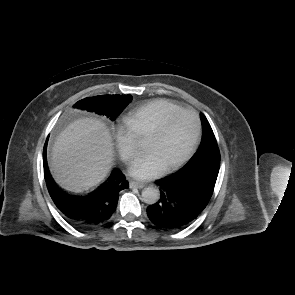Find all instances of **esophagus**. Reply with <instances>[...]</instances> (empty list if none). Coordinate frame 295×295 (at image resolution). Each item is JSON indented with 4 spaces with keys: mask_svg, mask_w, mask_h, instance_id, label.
Here are the masks:
<instances>
[{
    "mask_svg": "<svg viewBox=\"0 0 295 295\" xmlns=\"http://www.w3.org/2000/svg\"><path fill=\"white\" fill-rule=\"evenodd\" d=\"M129 185H130V188H133V187L143 188L145 186L144 183H142V182H136V181H131Z\"/></svg>",
    "mask_w": 295,
    "mask_h": 295,
    "instance_id": "obj_1",
    "label": "esophagus"
}]
</instances>
